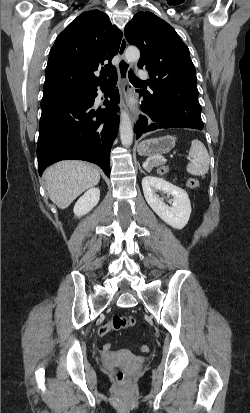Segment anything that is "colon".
Masks as SVG:
<instances>
[{
	"label": "colon",
	"mask_w": 250,
	"mask_h": 413,
	"mask_svg": "<svg viewBox=\"0 0 250 413\" xmlns=\"http://www.w3.org/2000/svg\"><path fill=\"white\" fill-rule=\"evenodd\" d=\"M170 168L168 166H161L158 169V172L160 174H166L168 173ZM200 182L196 178H190L187 181V186L190 188H197L199 187ZM136 324V319L135 317L131 315L127 316H115L112 318V320H107L106 322H101L99 325L98 329V334L100 336H107L111 330H120V329H125V328H130L135 326ZM114 343L111 341H105L102 344L103 351H110L111 349L114 348ZM140 351L142 353H147L149 352L150 348L148 345H141L139 347ZM114 375L115 378L119 382H125L128 380V373L127 371L121 367V366H115L114 367Z\"/></svg>",
	"instance_id": "colon-1"
}]
</instances>
